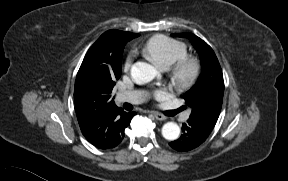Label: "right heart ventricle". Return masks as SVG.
Segmentation results:
<instances>
[{
  "label": "right heart ventricle",
  "mask_w": 288,
  "mask_h": 181,
  "mask_svg": "<svg viewBox=\"0 0 288 181\" xmlns=\"http://www.w3.org/2000/svg\"><path fill=\"white\" fill-rule=\"evenodd\" d=\"M143 52L151 57L158 66L167 69L177 60L186 56L187 46L181 41L159 34L146 42Z\"/></svg>",
  "instance_id": "e07e8e85"
}]
</instances>
